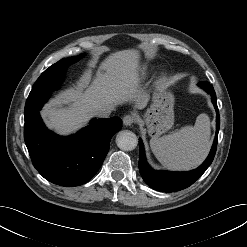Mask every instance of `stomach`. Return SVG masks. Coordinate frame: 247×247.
I'll return each mask as SVG.
<instances>
[{"label": "stomach", "instance_id": "stomach-1", "mask_svg": "<svg viewBox=\"0 0 247 247\" xmlns=\"http://www.w3.org/2000/svg\"><path fill=\"white\" fill-rule=\"evenodd\" d=\"M174 102L172 91L167 86H158L152 94V103L143 116L148 133L161 135L174 123Z\"/></svg>", "mask_w": 247, "mask_h": 247}]
</instances>
